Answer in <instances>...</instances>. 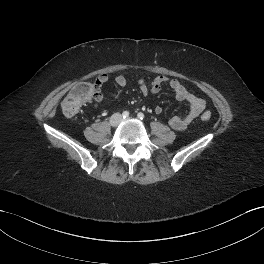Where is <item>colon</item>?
Instances as JSON below:
<instances>
[{"label":"colon","mask_w":264,"mask_h":264,"mask_svg":"<svg viewBox=\"0 0 264 264\" xmlns=\"http://www.w3.org/2000/svg\"><path fill=\"white\" fill-rule=\"evenodd\" d=\"M95 94V86L92 83L83 82L75 86L68 95L64 98L61 107L66 116L76 115L80 108ZM202 120L208 121L211 118V113L206 111L201 116Z\"/></svg>","instance_id":"colon-1"}]
</instances>
